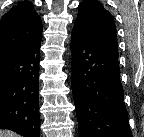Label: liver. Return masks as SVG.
<instances>
[{"instance_id": "obj_1", "label": "liver", "mask_w": 144, "mask_h": 137, "mask_svg": "<svg viewBox=\"0 0 144 137\" xmlns=\"http://www.w3.org/2000/svg\"><path fill=\"white\" fill-rule=\"evenodd\" d=\"M0 137H19L16 133L9 130H0Z\"/></svg>"}]
</instances>
